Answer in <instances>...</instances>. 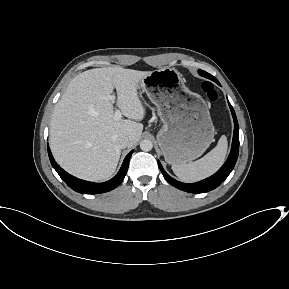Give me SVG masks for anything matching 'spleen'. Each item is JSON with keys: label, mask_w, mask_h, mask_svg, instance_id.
Listing matches in <instances>:
<instances>
[{"label": "spleen", "mask_w": 289, "mask_h": 289, "mask_svg": "<svg viewBox=\"0 0 289 289\" xmlns=\"http://www.w3.org/2000/svg\"><path fill=\"white\" fill-rule=\"evenodd\" d=\"M227 138L221 136L217 146L201 159L188 164H174V174L184 182H196L215 173L223 164L227 153Z\"/></svg>", "instance_id": "spleen-1"}]
</instances>
